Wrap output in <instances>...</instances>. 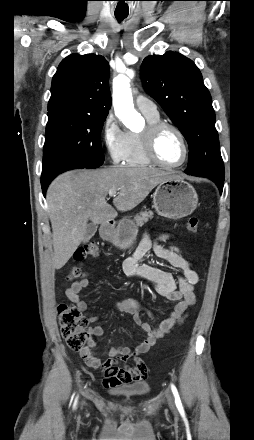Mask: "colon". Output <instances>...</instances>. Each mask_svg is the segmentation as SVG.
<instances>
[{"label":"colon","mask_w":254,"mask_h":440,"mask_svg":"<svg viewBox=\"0 0 254 440\" xmlns=\"http://www.w3.org/2000/svg\"><path fill=\"white\" fill-rule=\"evenodd\" d=\"M199 220L195 216H191L187 221V230L197 232ZM99 255V247L95 242H89L81 245L73 254L75 262H82L89 257H97ZM83 272L78 267H73L68 280L77 281L82 279ZM58 316L61 324V334L67 346L75 351H82L86 347L88 340L87 328L89 319L82 315L75 305L61 303L58 305Z\"/></svg>","instance_id":"obj_1"}]
</instances>
